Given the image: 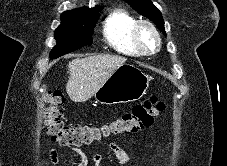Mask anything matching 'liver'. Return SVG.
I'll use <instances>...</instances> for the list:
<instances>
[{"label":"liver","instance_id":"1","mask_svg":"<svg viewBox=\"0 0 227 166\" xmlns=\"http://www.w3.org/2000/svg\"><path fill=\"white\" fill-rule=\"evenodd\" d=\"M126 60L122 56L102 54L70 61L66 84L69 98L77 103L88 101Z\"/></svg>","mask_w":227,"mask_h":166}]
</instances>
